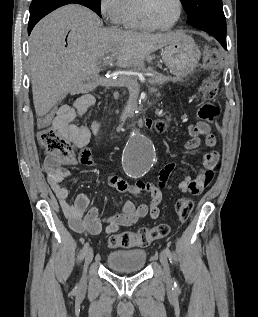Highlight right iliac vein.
<instances>
[{"label": "right iliac vein", "mask_w": 258, "mask_h": 317, "mask_svg": "<svg viewBox=\"0 0 258 317\" xmlns=\"http://www.w3.org/2000/svg\"><path fill=\"white\" fill-rule=\"evenodd\" d=\"M93 255H94V250L93 248H88L87 252H86V256L84 257V266L82 267V270L85 271V275L87 274V267H89L90 262L93 260Z\"/></svg>", "instance_id": "63e3f726"}]
</instances>
